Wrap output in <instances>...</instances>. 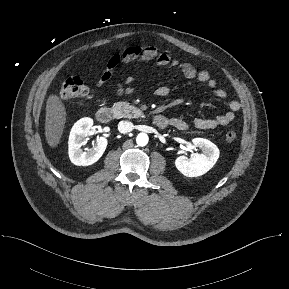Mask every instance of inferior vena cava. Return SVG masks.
I'll list each match as a JSON object with an SVG mask.
<instances>
[{"mask_svg": "<svg viewBox=\"0 0 289 289\" xmlns=\"http://www.w3.org/2000/svg\"><path fill=\"white\" fill-rule=\"evenodd\" d=\"M134 129V125L129 121H120L118 124V130L120 133H128Z\"/></svg>", "mask_w": 289, "mask_h": 289, "instance_id": "obj_1", "label": "inferior vena cava"}]
</instances>
